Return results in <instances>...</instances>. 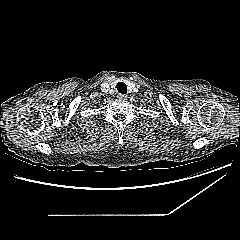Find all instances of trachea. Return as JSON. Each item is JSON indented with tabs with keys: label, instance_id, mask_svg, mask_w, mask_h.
I'll return each instance as SVG.
<instances>
[{
	"label": "trachea",
	"instance_id": "1",
	"mask_svg": "<svg viewBox=\"0 0 240 240\" xmlns=\"http://www.w3.org/2000/svg\"><path fill=\"white\" fill-rule=\"evenodd\" d=\"M116 87L119 93H122V94L127 93V86L125 83L119 82Z\"/></svg>",
	"mask_w": 240,
	"mask_h": 240
}]
</instances>
